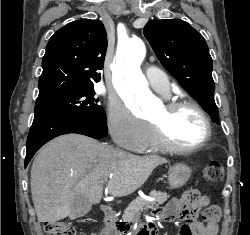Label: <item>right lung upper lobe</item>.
<instances>
[{"label": "right lung upper lobe", "mask_w": 250, "mask_h": 235, "mask_svg": "<svg viewBox=\"0 0 250 235\" xmlns=\"http://www.w3.org/2000/svg\"><path fill=\"white\" fill-rule=\"evenodd\" d=\"M106 50V31L98 20H77L60 28L46 47L38 97L97 83Z\"/></svg>", "instance_id": "right-lung-upper-lobe-1"}]
</instances>
